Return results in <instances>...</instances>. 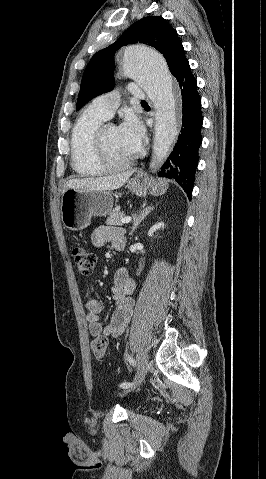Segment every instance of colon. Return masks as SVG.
I'll return each mask as SVG.
<instances>
[{
	"label": "colon",
	"instance_id": "5ec220e1",
	"mask_svg": "<svg viewBox=\"0 0 266 479\" xmlns=\"http://www.w3.org/2000/svg\"><path fill=\"white\" fill-rule=\"evenodd\" d=\"M72 260L78 272L82 276L92 274L96 264V256L81 245H74L71 250ZM107 339L106 337H97L91 344V349L96 357H103L106 353Z\"/></svg>",
	"mask_w": 266,
	"mask_h": 479
}]
</instances>
